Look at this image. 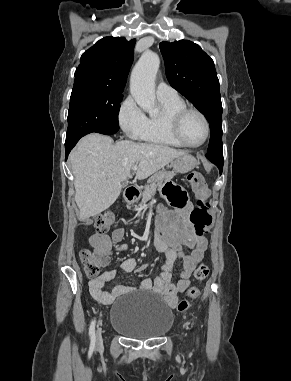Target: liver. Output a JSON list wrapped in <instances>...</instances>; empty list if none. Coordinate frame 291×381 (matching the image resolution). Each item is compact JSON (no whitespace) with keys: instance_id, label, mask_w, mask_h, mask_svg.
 Masks as SVG:
<instances>
[{"instance_id":"6515ba94","label":"liver","mask_w":291,"mask_h":381,"mask_svg":"<svg viewBox=\"0 0 291 381\" xmlns=\"http://www.w3.org/2000/svg\"><path fill=\"white\" fill-rule=\"evenodd\" d=\"M186 151L151 143H136L97 133L83 137L70 154L74 175L75 201L79 219L85 221L108 209L119 197L121 182L131 176L143 180Z\"/></svg>"}]
</instances>
